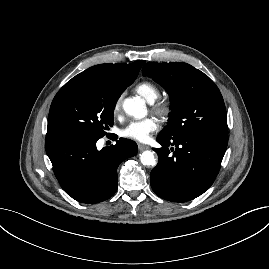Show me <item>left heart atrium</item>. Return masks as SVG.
Here are the masks:
<instances>
[{"label":"left heart atrium","mask_w":269,"mask_h":269,"mask_svg":"<svg viewBox=\"0 0 269 269\" xmlns=\"http://www.w3.org/2000/svg\"><path fill=\"white\" fill-rule=\"evenodd\" d=\"M159 122L154 117H148L141 120L130 122L121 131L123 137L133 139L139 142H146L150 135L157 131Z\"/></svg>","instance_id":"obj_1"}]
</instances>
